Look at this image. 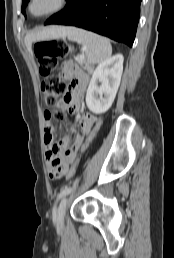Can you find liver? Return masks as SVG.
Instances as JSON below:
<instances>
[{"instance_id":"liver-1","label":"liver","mask_w":174,"mask_h":258,"mask_svg":"<svg viewBox=\"0 0 174 258\" xmlns=\"http://www.w3.org/2000/svg\"><path fill=\"white\" fill-rule=\"evenodd\" d=\"M67 28L53 26L46 28L38 33L28 34L25 38V43L29 50H31V44L36 40L54 39L66 36Z\"/></svg>"}]
</instances>
